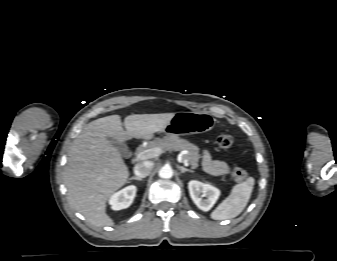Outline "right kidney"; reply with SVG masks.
<instances>
[{
  "label": "right kidney",
  "mask_w": 337,
  "mask_h": 261,
  "mask_svg": "<svg viewBox=\"0 0 337 261\" xmlns=\"http://www.w3.org/2000/svg\"><path fill=\"white\" fill-rule=\"evenodd\" d=\"M137 188L134 185L127 186L124 189L113 194L109 200L113 210L128 208L136 195Z\"/></svg>",
  "instance_id": "ca27d5eb"
}]
</instances>
